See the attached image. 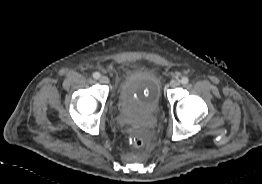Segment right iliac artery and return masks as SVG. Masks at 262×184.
<instances>
[{
    "mask_svg": "<svg viewBox=\"0 0 262 184\" xmlns=\"http://www.w3.org/2000/svg\"><path fill=\"white\" fill-rule=\"evenodd\" d=\"M93 77L95 79H98L100 77V73H98V72L93 73Z\"/></svg>",
    "mask_w": 262,
    "mask_h": 184,
    "instance_id": "obj_1",
    "label": "right iliac artery"
}]
</instances>
